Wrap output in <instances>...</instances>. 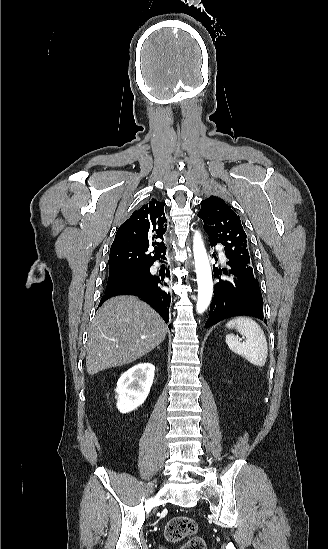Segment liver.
I'll use <instances>...</instances> for the list:
<instances>
[{
	"instance_id": "liver-1",
	"label": "liver",
	"mask_w": 328,
	"mask_h": 549,
	"mask_svg": "<svg viewBox=\"0 0 328 549\" xmlns=\"http://www.w3.org/2000/svg\"><path fill=\"white\" fill-rule=\"evenodd\" d=\"M167 327L160 315L138 297H112L90 325L86 369L96 375L141 359L164 341Z\"/></svg>"
}]
</instances>
